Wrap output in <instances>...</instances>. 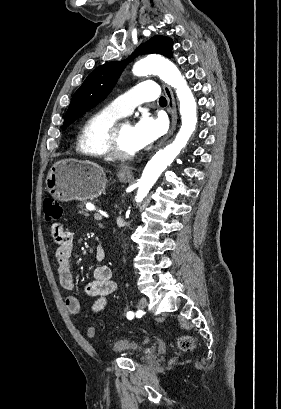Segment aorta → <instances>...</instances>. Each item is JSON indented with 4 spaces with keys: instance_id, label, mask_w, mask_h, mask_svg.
<instances>
[{
    "instance_id": "762f6f07",
    "label": "aorta",
    "mask_w": 281,
    "mask_h": 409,
    "mask_svg": "<svg viewBox=\"0 0 281 409\" xmlns=\"http://www.w3.org/2000/svg\"><path fill=\"white\" fill-rule=\"evenodd\" d=\"M136 76L157 75L165 83L176 90L180 102V114L182 125L174 141L159 150L146 164L141 178L138 181L136 202H141L155 184L162 172L177 157L186 146L189 138L195 130L197 123V105L191 89L181 75L179 69L169 60L148 56L137 61L133 66Z\"/></svg>"
}]
</instances>
